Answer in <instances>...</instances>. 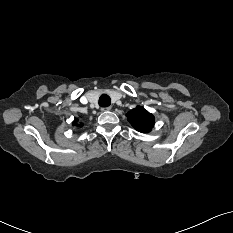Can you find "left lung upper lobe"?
<instances>
[{
    "label": "left lung upper lobe",
    "mask_w": 233,
    "mask_h": 233,
    "mask_svg": "<svg viewBox=\"0 0 233 233\" xmlns=\"http://www.w3.org/2000/svg\"><path fill=\"white\" fill-rule=\"evenodd\" d=\"M127 119L139 132L147 133L154 126V116L141 106L130 110L127 113Z\"/></svg>",
    "instance_id": "5c2ea615"
}]
</instances>
